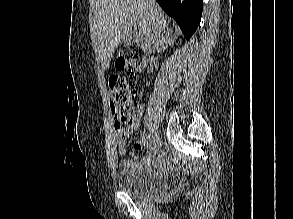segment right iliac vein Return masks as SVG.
<instances>
[{"mask_svg": "<svg viewBox=\"0 0 293 219\" xmlns=\"http://www.w3.org/2000/svg\"><path fill=\"white\" fill-rule=\"evenodd\" d=\"M156 139H157V132L155 130H153L151 132L149 141H150V143H155Z\"/></svg>", "mask_w": 293, "mask_h": 219, "instance_id": "63e3f726", "label": "right iliac vein"}]
</instances>
